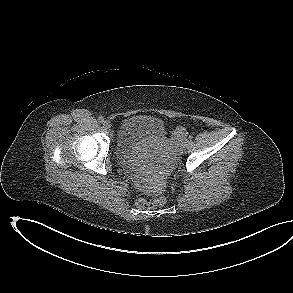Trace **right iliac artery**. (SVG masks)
<instances>
[{
    "instance_id": "82829eb1",
    "label": "right iliac artery",
    "mask_w": 293,
    "mask_h": 293,
    "mask_svg": "<svg viewBox=\"0 0 293 293\" xmlns=\"http://www.w3.org/2000/svg\"><path fill=\"white\" fill-rule=\"evenodd\" d=\"M98 121H99V123H104V118L102 116H99Z\"/></svg>"
}]
</instances>
